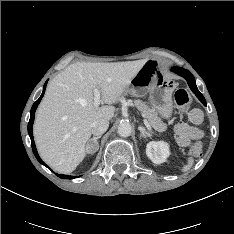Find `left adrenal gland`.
<instances>
[{"mask_svg":"<svg viewBox=\"0 0 234 234\" xmlns=\"http://www.w3.org/2000/svg\"><path fill=\"white\" fill-rule=\"evenodd\" d=\"M138 130L140 131V139L147 138V137L151 138L152 134L150 132L146 131V129L144 127L139 126Z\"/></svg>","mask_w":234,"mask_h":234,"instance_id":"1","label":"left adrenal gland"}]
</instances>
